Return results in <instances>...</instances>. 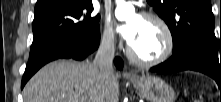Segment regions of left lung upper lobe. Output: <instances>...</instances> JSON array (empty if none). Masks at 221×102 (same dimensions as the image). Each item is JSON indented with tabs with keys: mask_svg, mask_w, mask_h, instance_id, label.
<instances>
[{
	"mask_svg": "<svg viewBox=\"0 0 221 102\" xmlns=\"http://www.w3.org/2000/svg\"><path fill=\"white\" fill-rule=\"evenodd\" d=\"M168 25L173 52L189 44L202 46L217 57L220 47L214 34V15L210 0H147Z\"/></svg>",
	"mask_w": 221,
	"mask_h": 102,
	"instance_id": "1",
	"label": "left lung upper lobe"
}]
</instances>
